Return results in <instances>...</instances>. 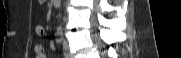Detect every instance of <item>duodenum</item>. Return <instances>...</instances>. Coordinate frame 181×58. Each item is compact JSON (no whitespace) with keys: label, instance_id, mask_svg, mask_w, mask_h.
Masks as SVG:
<instances>
[{"label":"duodenum","instance_id":"obj_1","mask_svg":"<svg viewBox=\"0 0 181 58\" xmlns=\"http://www.w3.org/2000/svg\"><path fill=\"white\" fill-rule=\"evenodd\" d=\"M52 2L55 7H59L61 4V0H52Z\"/></svg>","mask_w":181,"mask_h":58}]
</instances>
